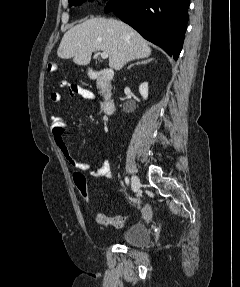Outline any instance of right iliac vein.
Here are the masks:
<instances>
[{
	"label": "right iliac vein",
	"instance_id": "63e3f726",
	"mask_svg": "<svg viewBox=\"0 0 240 287\" xmlns=\"http://www.w3.org/2000/svg\"><path fill=\"white\" fill-rule=\"evenodd\" d=\"M131 185L134 192H139L141 184L139 178L136 175L132 176Z\"/></svg>",
	"mask_w": 240,
	"mask_h": 287
}]
</instances>
